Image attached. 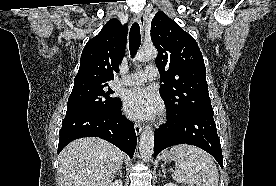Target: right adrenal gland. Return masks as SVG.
Masks as SVG:
<instances>
[{"instance_id":"2a0ac1e0","label":"right adrenal gland","mask_w":276,"mask_h":186,"mask_svg":"<svg viewBox=\"0 0 276 186\" xmlns=\"http://www.w3.org/2000/svg\"><path fill=\"white\" fill-rule=\"evenodd\" d=\"M117 175H120V177H122V166L119 168Z\"/></svg>"}]
</instances>
